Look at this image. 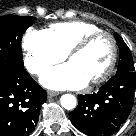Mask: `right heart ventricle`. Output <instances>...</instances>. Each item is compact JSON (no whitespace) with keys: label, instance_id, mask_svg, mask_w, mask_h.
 Masks as SVG:
<instances>
[{"label":"right heart ventricle","instance_id":"e07e8e85","mask_svg":"<svg viewBox=\"0 0 136 136\" xmlns=\"http://www.w3.org/2000/svg\"><path fill=\"white\" fill-rule=\"evenodd\" d=\"M99 30L100 28L92 23L66 21L52 24L44 31L54 46L66 55L81 38Z\"/></svg>","mask_w":136,"mask_h":136}]
</instances>
